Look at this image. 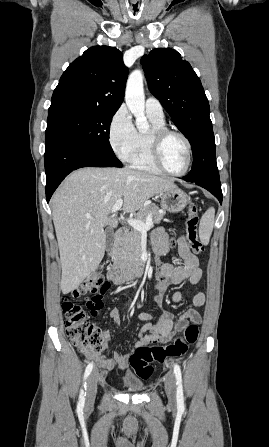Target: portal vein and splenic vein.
Instances as JSON below:
<instances>
[{
    "mask_svg": "<svg viewBox=\"0 0 269 447\" xmlns=\"http://www.w3.org/2000/svg\"><path fill=\"white\" fill-rule=\"evenodd\" d=\"M123 206V200H116V204H114L111 212L112 214H115V212H118V210H121ZM88 220H93L91 216H87ZM152 214H148L146 217L145 222H142V220H136V218H130V220H127V224L132 225L134 229H138V231H148V229H151L152 227Z\"/></svg>",
    "mask_w": 269,
    "mask_h": 447,
    "instance_id": "obj_1",
    "label": "portal vein and splenic vein"
}]
</instances>
